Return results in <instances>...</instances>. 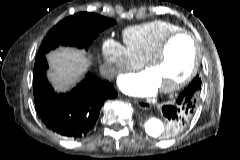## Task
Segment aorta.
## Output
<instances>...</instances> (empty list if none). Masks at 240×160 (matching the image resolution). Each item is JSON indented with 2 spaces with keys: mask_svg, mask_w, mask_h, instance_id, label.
Returning a JSON list of instances; mask_svg holds the SVG:
<instances>
[{
  "mask_svg": "<svg viewBox=\"0 0 240 160\" xmlns=\"http://www.w3.org/2000/svg\"><path fill=\"white\" fill-rule=\"evenodd\" d=\"M144 128L149 136L159 138L164 133L166 124L157 117H150L145 121Z\"/></svg>",
  "mask_w": 240,
  "mask_h": 160,
  "instance_id": "aorta-1",
  "label": "aorta"
}]
</instances>
